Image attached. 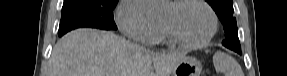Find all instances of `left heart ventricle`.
<instances>
[{
    "mask_svg": "<svg viewBox=\"0 0 287 76\" xmlns=\"http://www.w3.org/2000/svg\"><path fill=\"white\" fill-rule=\"evenodd\" d=\"M182 39L197 41L204 38L211 28L208 11L196 3H186L179 7L167 5L161 14Z\"/></svg>",
    "mask_w": 287,
    "mask_h": 76,
    "instance_id": "obj_1",
    "label": "left heart ventricle"
}]
</instances>
